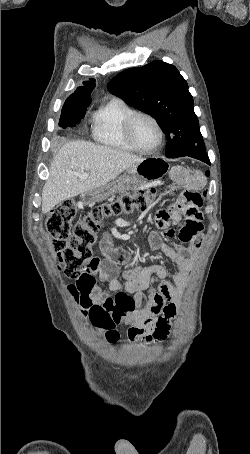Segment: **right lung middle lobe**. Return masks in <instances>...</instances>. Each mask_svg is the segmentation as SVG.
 Wrapping results in <instances>:
<instances>
[{
    "label": "right lung middle lobe",
    "instance_id": "obj_1",
    "mask_svg": "<svg viewBox=\"0 0 250 454\" xmlns=\"http://www.w3.org/2000/svg\"><path fill=\"white\" fill-rule=\"evenodd\" d=\"M90 102L76 103V104H64L59 126L62 128L73 127L78 124L84 117L87 107Z\"/></svg>",
    "mask_w": 250,
    "mask_h": 454
}]
</instances>
